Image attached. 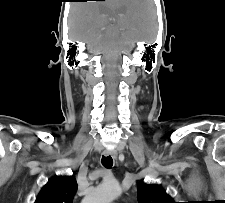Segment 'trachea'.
Wrapping results in <instances>:
<instances>
[{
  "instance_id": "1",
  "label": "trachea",
  "mask_w": 225,
  "mask_h": 203,
  "mask_svg": "<svg viewBox=\"0 0 225 203\" xmlns=\"http://www.w3.org/2000/svg\"><path fill=\"white\" fill-rule=\"evenodd\" d=\"M102 165L108 169L113 166V159L111 156H102Z\"/></svg>"
}]
</instances>
